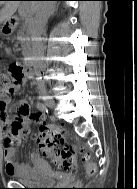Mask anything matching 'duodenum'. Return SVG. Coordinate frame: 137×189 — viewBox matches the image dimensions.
Listing matches in <instances>:
<instances>
[{"mask_svg": "<svg viewBox=\"0 0 137 189\" xmlns=\"http://www.w3.org/2000/svg\"><path fill=\"white\" fill-rule=\"evenodd\" d=\"M16 27H17V21L13 18L8 19V20L5 21L4 33L6 35H10L15 31ZM25 65H26V68H27V72L30 75H36V70L34 68L33 61L28 59L26 61Z\"/></svg>", "mask_w": 137, "mask_h": 189, "instance_id": "duodenum-1", "label": "duodenum"}]
</instances>
